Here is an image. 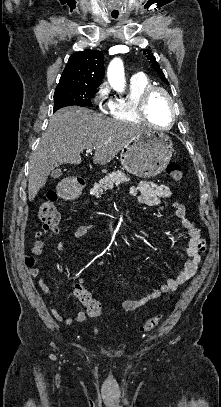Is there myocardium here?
Masks as SVG:
<instances>
[{
	"label": "myocardium",
	"instance_id": "myocardium-1",
	"mask_svg": "<svg viewBox=\"0 0 221 407\" xmlns=\"http://www.w3.org/2000/svg\"><path fill=\"white\" fill-rule=\"evenodd\" d=\"M156 94H162L166 97L167 101L169 102L170 108H171V120L168 126L166 127H156L154 126L156 129L160 130V131H167L170 130L173 125L175 124V120H176V115H175V101L172 98V96L169 94V92L162 88V87H158V86H152L149 89H147L140 101L139 104L137 106V113L139 115V117L141 118L142 121L149 123L151 125H153V122L149 116V112H148V106L149 103L151 101V99L156 95Z\"/></svg>",
	"mask_w": 221,
	"mask_h": 407
}]
</instances>
